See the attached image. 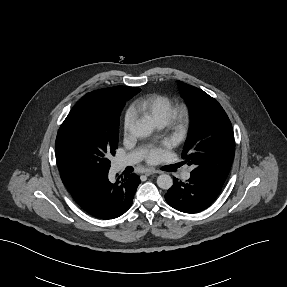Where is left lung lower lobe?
I'll use <instances>...</instances> for the list:
<instances>
[{"mask_svg":"<svg viewBox=\"0 0 287 287\" xmlns=\"http://www.w3.org/2000/svg\"><path fill=\"white\" fill-rule=\"evenodd\" d=\"M222 186L200 174L191 173L186 182L174 178V184L165 194V199L176 210L193 214L209 207L221 192Z\"/></svg>","mask_w":287,"mask_h":287,"instance_id":"1","label":"left lung lower lobe"}]
</instances>
